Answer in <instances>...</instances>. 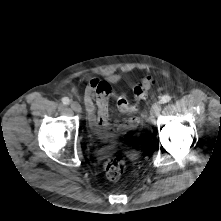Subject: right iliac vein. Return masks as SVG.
I'll return each instance as SVG.
<instances>
[{"instance_id":"1","label":"right iliac vein","mask_w":221,"mask_h":221,"mask_svg":"<svg viewBox=\"0 0 221 221\" xmlns=\"http://www.w3.org/2000/svg\"><path fill=\"white\" fill-rule=\"evenodd\" d=\"M70 106L76 113H80L82 110L78 102H72Z\"/></svg>"}]
</instances>
